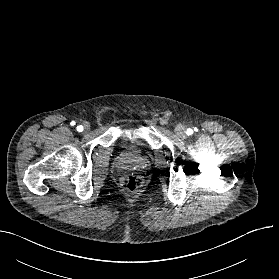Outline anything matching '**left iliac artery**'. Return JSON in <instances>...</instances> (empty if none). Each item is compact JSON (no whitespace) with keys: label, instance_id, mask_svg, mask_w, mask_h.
<instances>
[{"label":"left iliac artery","instance_id":"1","mask_svg":"<svg viewBox=\"0 0 279 279\" xmlns=\"http://www.w3.org/2000/svg\"><path fill=\"white\" fill-rule=\"evenodd\" d=\"M186 133H187V135H192L193 134V130L189 128V129H187Z\"/></svg>","mask_w":279,"mask_h":279}]
</instances>
